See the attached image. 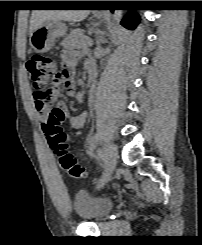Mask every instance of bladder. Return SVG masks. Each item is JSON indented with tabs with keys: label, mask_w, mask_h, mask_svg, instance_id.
<instances>
[{
	"label": "bladder",
	"mask_w": 202,
	"mask_h": 245,
	"mask_svg": "<svg viewBox=\"0 0 202 245\" xmlns=\"http://www.w3.org/2000/svg\"><path fill=\"white\" fill-rule=\"evenodd\" d=\"M74 207L79 217L98 223L112 212L114 203L108 198L82 191L76 194Z\"/></svg>",
	"instance_id": "obj_1"
}]
</instances>
